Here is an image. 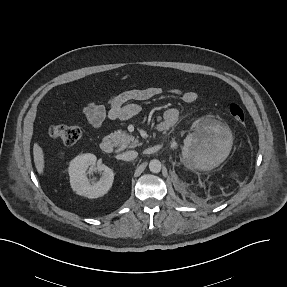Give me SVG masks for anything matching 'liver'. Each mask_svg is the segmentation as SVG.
Wrapping results in <instances>:
<instances>
[{
	"label": "liver",
	"mask_w": 287,
	"mask_h": 287,
	"mask_svg": "<svg viewBox=\"0 0 287 287\" xmlns=\"http://www.w3.org/2000/svg\"><path fill=\"white\" fill-rule=\"evenodd\" d=\"M33 157H34V163H35V167L37 169L38 174L43 175L44 168H45L44 152L38 143H34Z\"/></svg>",
	"instance_id": "1"
}]
</instances>
